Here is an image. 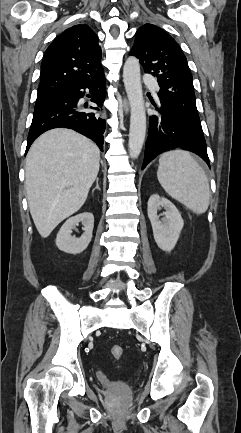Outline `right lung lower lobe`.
I'll return each mask as SVG.
<instances>
[{
  "label": "right lung lower lobe",
  "mask_w": 241,
  "mask_h": 433,
  "mask_svg": "<svg viewBox=\"0 0 241 433\" xmlns=\"http://www.w3.org/2000/svg\"><path fill=\"white\" fill-rule=\"evenodd\" d=\"M86 88L92 94V102L101 107L105 98L104 74L86 83H74L63 87L47 103L34 110L26 152L39 135L58 127L70 128L87 136L103 150L105 120L96 113L84 111L83 107L78 105Z\"/></svg>",
  "instance_id": "1"
}]
</instances>
